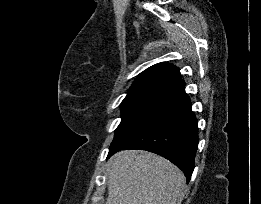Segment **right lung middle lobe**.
Here are the masks:
<instances>
[{"label": "right lung middle lobe", "mask_w": 261, "mask_h": 204, "mask_svg": "<svg viewBox=\"0 0 261 204\" xmlns=\"http://www.w3.org/2000/svg\"><path fill=\"white\" fill-rule=\"evenodd\" d=\"M169 95L160 93L128 94L121 103L122 121L115 130L110 148L145 119Z\"/></svg>", "instance_id": "1"}]
</instances>
